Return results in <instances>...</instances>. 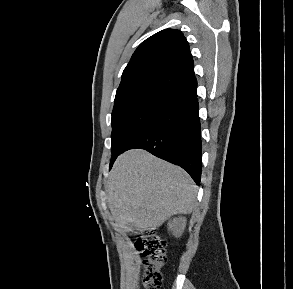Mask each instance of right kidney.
Returning a JSON list of instances; mask_svg holds the SVG:
<instances>
[{
	"instance_id": "ca27d5eb",
	"label": "right kidney",
	"mask_w": 293,
	"mask_h": 289,
	"mask_svg": "<svg viewBox=\"0 0 293 289\" xmlns=\"http://www.w3.org/2000/svg\"><path fill=\"white\" fill-rule=\"evenodd\" d=\"M186 226L185 218H175L169 223V229L173 232L175 236H180Z\"/></svg>"
}]
</instances>
